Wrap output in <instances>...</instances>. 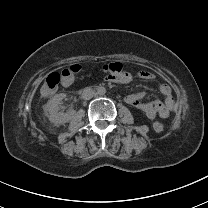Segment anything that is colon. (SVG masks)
I'll return each mask as SVG.
<instances>
[{
    "label": "colon",
    "instance_id": "obj_1",
    "mask_svg": "<svg viewBox=\"0 0 208 208\" xmlns=\"http://www.w3.org/2000/svg\"><path fill=\"white\" fill-rule=\"evenodd\" d=\"M101 70L109 78H122L125 75L124 63L118 60L103 64ZM82 73L83 66L81 64H74L60 72L52 73L46 78L43 91L53 92L61 83H69L75 75H81ZM153 129L158 134H163L166 131L165 124L160 120L154 122Z\"/></svg>",
    "mask_w": 208,
    "mask_h": 208
}]
</instances>
